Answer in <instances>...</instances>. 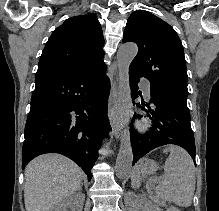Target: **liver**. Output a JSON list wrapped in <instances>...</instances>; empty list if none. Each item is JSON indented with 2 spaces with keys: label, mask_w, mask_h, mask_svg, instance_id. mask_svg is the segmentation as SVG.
I'll return each instance as SVG.
<instances>
[{
  "label": "liver",
  "mask_w": 219,
  "mask_h": 211,
  "mask_svg": "<svg viewBox=\"0 0 219 211\" xmlns=\"http://www.w3.org/2000/svg\"><path fill=\"white\" fill-rule=\"evenodd\" d=\"M83 171L60 153L34 157L25 167L26 211H51L55 203L82 187Z\"/></svg>",
  "instance_id": "1"
}]
</instances>
